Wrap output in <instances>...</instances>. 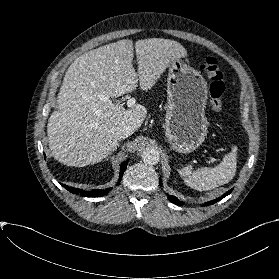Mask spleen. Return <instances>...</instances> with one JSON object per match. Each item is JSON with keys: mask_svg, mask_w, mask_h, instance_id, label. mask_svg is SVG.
<instances>
[{"mask_svg": "<svg viewBox=\"0 0 279 279\" xmlns=\"http://www.w3.org/2000/svg\"><path fill=\"white\" fill-rule=\"evenodd\" d=\"M236 164L237 147H233L232 152L226 155L223 161L214 168L202 167L191 176L192 167L188 165L179 170V173L191 188L198 191H207L231 181L236 173Z\"/></svg>", "mask_w": 279, "mask_h": 279, "instance_id": "spleen-1", "label": "spleen"}]
</instances>
